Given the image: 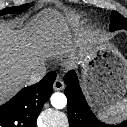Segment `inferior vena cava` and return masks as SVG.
<instances>
[{
	"label": "inferior vena cava",
	"instance_id": "inferior-vena-cava-1",
	"mask_svg": "<svg viewBox=\"0 0 127 127\" xmlns=\"http://www.w3.org/2000/svg\"><path fill=\"white\" fill-rule=\"evenodd\" d=\"M46 75L45 65L37 67L30 75L28 84H35L39 82Z\"/></svg>",
	"mask_w": 127,
	"mask_h": 127
}]
</instances>
